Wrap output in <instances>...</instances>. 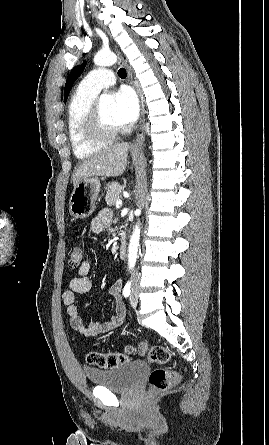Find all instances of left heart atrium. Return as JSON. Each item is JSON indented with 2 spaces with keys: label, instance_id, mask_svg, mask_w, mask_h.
<instances>
[{
  "label": "left heart atrium",
  "instance_id": "1",
  "mask_svg": "<svg viewBox=\"0 0 269 445\" xmlns=\"http://www.w3.org/2000/svg\"><path fill=\"white\" fill-rule=\"evenodd\" d=\"M139 113L138 100L135 93L128 87H122L113 96V117L117 125L133 124Z\"/></svg>",
  "mask_w": 269,
  "mask_h": 445
}]
</instances>
